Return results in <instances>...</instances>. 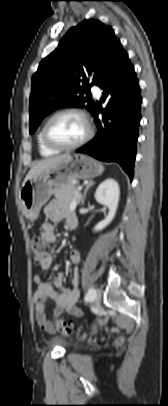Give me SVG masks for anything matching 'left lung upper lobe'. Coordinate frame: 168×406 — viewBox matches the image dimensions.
I'll use <instances>...</instances> for the list:
<instances>
[{"label": "left lung upper lobe", "instance_id": "5c2ea615", "mask_svg": "<svg viewBox=\"0 0 168 406\" xmlns=\"http://www.w3.org/2000/svg\"><path fill=\"white\" fill-rule=\"evenodd\" d=\"M122 50L113 29L99 20H84L72 27L32 77L30 133L57 108L85 107L92 114L96 105L83 96L89 92L88 81L99 85Z\"/></svg>", "mask_w": 168, "mask_h": 406}]
</instances>
